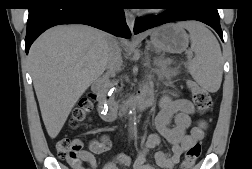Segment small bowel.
I'll return each instance as SVG.
<instances>
[{
  "instance_id": "c3829d8e",
  "label": "small bowel",
  "mask_w": 252,
  "mask_h": 169,
  "mask_svg": "<svg viewBox=\"0 0 252 169\" xmlns=\"http://www.w3.org/2000/svg\"><path fill=\"white\" fill-rule=\"evenodd\" d=\"M153 93L150 89L143 92V96H151ZM194 106L184 98L165 95L160 100V110L155 119L157 133L151 134L144 146L138 152L134 161V169H155L146 163L148 152L158 146L161 139L164 138L172 145V153L157 152L155 155L156 162L164 169H171L180 160L185 150L195 143H198L204 135L205 123L203 121H193ZM174 120V126L169 127L170 122ZM112 146L111 139L104 134L99 138L90 140L89 150H81L80 158L89 164V169H95L96 160L94 154L106 152ZM130 157L125 154H117L112 160L106 163L101 169H120L121 166H129ZM84 169V168H79Z\"/></svg>"
}]
</instances>
